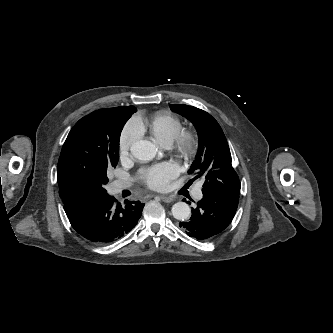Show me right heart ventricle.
<instances>
[{"instance_id": "right-heart-ventricle-1", "label": "right heart ventricle", "mask_w": 333, "mask_h": 333, "mask_svg": "<svg viewBox=\"0 0 333 333\" xmlns=\"http://www.w3.org/2000/svg\"><path fill=\"white\" fill-rule=\"evenodd\" d=\"M143 127L163 146L172 145L182 131L180 119L168 112L153 115Z\"/></svg>"}]
</instances>
